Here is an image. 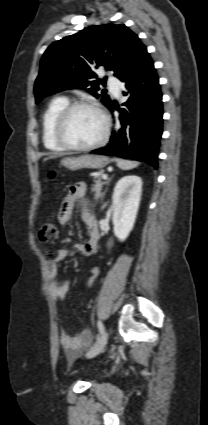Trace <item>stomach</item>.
Here are the masks:
<instances>
[{
    "instance_id": "0dacf381",
    "label": "stomach",
    "mask_w": 208,
    "mask_h": 425,
    "mask_svg": "<svg viewBox=\"0 0 208 425\" xmlns=\"http://www.w3.org/2000/svg\"><path fill=\"white\" fill-rule=\"evenodd\" d=\"M109 162L110 159L107 157L86 154L78 157L65 158L61 161V164L69 170L76 171L84 168L102 169L108 165Z\"/></svg>"
}]
</instances>
